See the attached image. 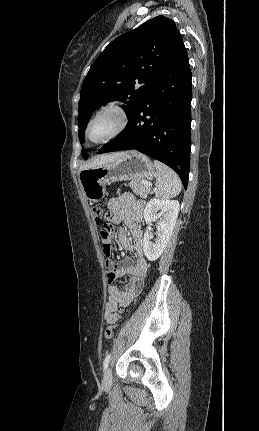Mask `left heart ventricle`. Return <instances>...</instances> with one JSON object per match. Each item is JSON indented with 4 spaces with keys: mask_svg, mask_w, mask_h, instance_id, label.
Masks as SVG:
<instances>
[{
    "mask_svg": "<svg viewBox=\"0 0 259 431\" xmlns=\"http://www.w3.org/2000/svg\"><path fill=\"white\" fill-rule=\"evenodd\" d=\"M117 118L113 113L101 115L92 124L89 135L91 140L97 141L108 135L116 126Z\"/></svg>",
    "mask_w": 259,
    "mask_h": 431,
    "instance_id": "left-heart-ventricle-1",
    "label": "left heart ventricle"
}]
</instances>
